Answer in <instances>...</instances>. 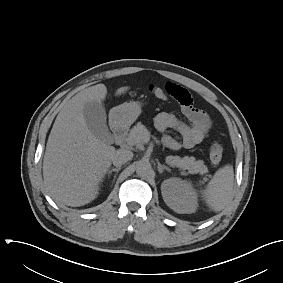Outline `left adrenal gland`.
<instances>
[{
  "label": "left adrenal gland",
  "instance_id": "obj_1",
  "mask_svg": "<svg viewBox=\"0 0 283 283\" xmlns=\"http://www.w3.org/2000/svg\"><path fill=\"white\" fill-rule=\"evenodd\" d=\"M157 168H158V172L160 174H162L164 170L169 171V172L171 171V169L169 167H167L165 165H161L160 163L158 164Z\"/></svg>",
  "mask_w": 283,
  "mask_h": 283
}]
</instances>
